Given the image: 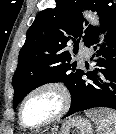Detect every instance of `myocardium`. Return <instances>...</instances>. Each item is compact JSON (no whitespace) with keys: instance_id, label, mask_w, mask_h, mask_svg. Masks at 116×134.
<instances>
[{"instance_id":"myocardium-1","label":"myocardium","mask_w":116,"mask_h":134,"mask_svg":"<svg viewBox=\"0 0 116 134\" xmlns=\"http://www.w3.org/2000/svg\"><path fill=\"white\" fill-rule=\"evenodd\" d=\"M46 90L53 91L59 96L60 107L58 111L55 114H53L51 117L47 118L46 120H44L43 122L39 124H36V125L26 124L23 119V109H24L26 102L34 94L38 92L46 91ZM70 104H71V96L65 85L57 81H49V82L41 83L33 87L29 92H27L26 95L21 100L19 109H18L19 122L24 128H27V129H40V128L46 127L48 125H51L59 121L61 118H63L65 114L68 112L70 108Z\"/></svg>"}]
</instances>
